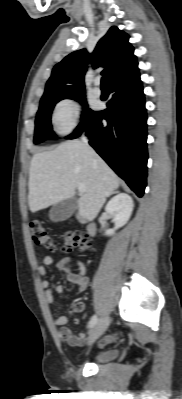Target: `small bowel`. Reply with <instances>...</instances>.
I'll return each instance as SVG.
<instances>
[{
    "label": "small bowel",
    "instance_id": "c3829d8e",
    "mask_svg": "<svg viewBox=\"0 0 182 399\" xmlns=\"http://www.w3.org/2000/svg\"><path fill=\"white\" fill-rule=\"evenodd\" d=\"M54 263V257L51 255H46L43 257V265H41L38 270L43 277L42 286L44 288V296L47 304L52 305L54 303V295L62 294L64 288L62 285H52L50 280L46 278V267L51 266ZM75 263L78 266V272H73L70 268L71 261L69 258H62L58 263L57 267L63 269L66 272V279L69 283L74 285L79 291H84L87 288L88 280L86 278V265L79 258L75 259ZM84 308L82 302H78L74 305V310L76 312H81ZM68 319L66 316H59L54 320V325L60 327V335L70 346H80L86 340L87 336L84 333L74 335L72 331L66 327ZM110 340L106 337L100 341V345L106 344Z\"/></svg>",
    "mask_w": 182,
    "mask_h": 399
}]
</instances>
